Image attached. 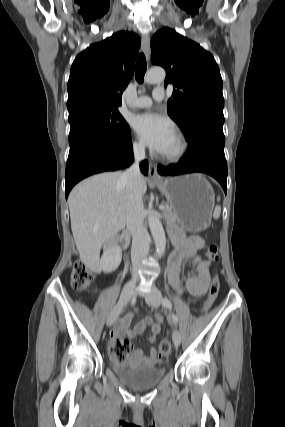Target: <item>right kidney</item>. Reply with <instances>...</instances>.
<instances>
[{
	"label": "right kidney",
	"instance_id": "ca27d5eb",
	"mask_svg": "<svg viewBox=\"0 0 285 427\" xmlns=\"http://www.w3.org/2000/svg\"><path fill=\"white\" fill-rule=\"evenodd\" d=\"M122 251L120 246L107 248L100 260V267L104 273L113 272L121 263Z\"/></svg>",
	"mask_w": 285,
	"mask_h": 427
}]
</instances>
